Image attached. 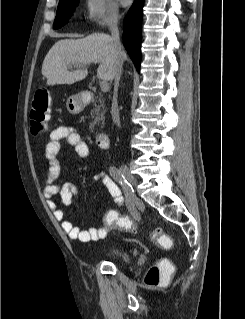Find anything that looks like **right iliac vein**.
<instances>
[{
  "instance_id": "right-iliac-vein-1",
  "label": "right iliac vein",
  "mask_w": 245,
  "mask_h": 319,
  "mask_svg": "<svg viewBox=\"0 0 245 319\" xmlns=\"http://www.w3.org/2000/svg\"><path fill=\"white\" fill-rule=\"evenodd\" d=\"M121 172L123 173L125 179L127 180V182L131 185V186H135L136 185V179L133 176L132 173H130V171L128 170V168L126 167V165H121L120 167ZM137 204H140V202L137 200L136 201Z\"/></svg>"
}]
</instances>
